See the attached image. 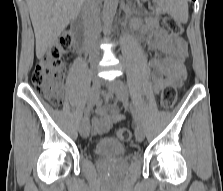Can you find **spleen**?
Returning a JSON list of instances; mask_svg holds the SVG:
<instances>
[{
  "instance_id": "3e777b00",
  "label": "spleen",
  "mask_w": 223,
  "mask_h": 191,
  "mask_svg": "<svg viewBox=\"0 0 223 191\" xmlns=\"http://www.w3.org/2000/svg\"><path fill=\"white\" fill-rule=\"evenodd\" d=\"M170 13L182 22L188 19V4L187 0H170Z\"/></svg>"
}]
</instances>
